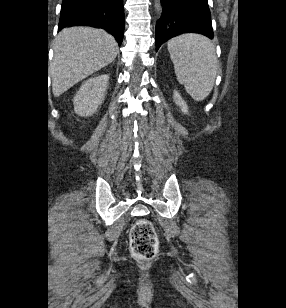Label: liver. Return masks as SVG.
<instances>
[{"instance_id":"6515ba94","label":"liver","mask_w":286,"mask_h":308,"mask_svg":"<svg viewBox=\"0 0 286 308\" xmlns=\"http://www.w3.org/2000/svg\"><path fill=\"white\" fill-rule=\"evenodd\" d=\"M118 44L107 32L72 27L59 32L50 66L52 92L59 97L78 82L114 61Z\"/></svg>"}]
</instances>
